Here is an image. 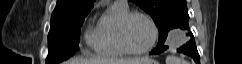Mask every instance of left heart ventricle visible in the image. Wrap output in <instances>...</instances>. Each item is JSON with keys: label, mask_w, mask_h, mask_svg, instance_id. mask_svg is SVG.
Returning <instances> with one entry per match:
<instances>
[{"label": "left heart ventricle", "mask_w": 242, "mask_h": 64, "mask_svg": "<svg viewBox=\"0 0 242 64\" xmlns=\"http://www.w3.org/2000/svg\"><path fill=\"white\" fill-rule=\"evenodd\" d=\"M152 38V29L148 21L142 17H133L126 28V39L129 46L140 50L147 47Z\"/></svg>", "instance_id": "obj_1"}]
</instances>
